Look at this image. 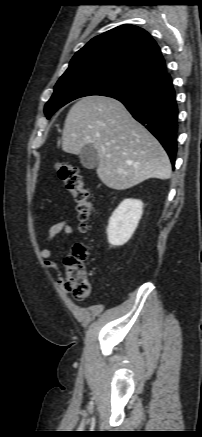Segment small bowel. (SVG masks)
I'll return each instance as SVG.
<instances>
[{
	"instance_id": "c3829d8e",
	"label": "small bowel",
	"mask_w": 202,
	"mask_h": 437,
	"mask_svg": "<svg viewBox=\"0 0 202 437\" xmlns=\"http://www.w3.org/2000/svg\"><path fill=\"white\" fill-rule=\"evenodd\" d=\"M74 233H75V229L69 223V221L68 220H61L59 222L52 224L49 227L48 233L46 236V241L51 242L58 237L72 235ZM40 255L44 260V266L46 267L47 270L57 271L58 266H57V263L54 260H52L53 252L50 249L45 248V249L41 250ZM59 283H60V281H59Z\"/></svg>"
}]
</instances>
